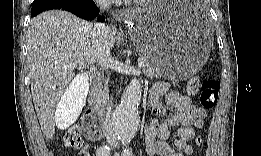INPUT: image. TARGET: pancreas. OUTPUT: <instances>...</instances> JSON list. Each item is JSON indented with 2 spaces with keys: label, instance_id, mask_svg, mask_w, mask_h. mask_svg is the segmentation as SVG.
<instances>
[{
  "label": "pancreas",
  "instance_id": "obj_1",
  "mask_svg": "<svg viewBox=\"0 0 261 156\" xmlns=\"http://www.w3.org/2000/svg\"><path fill=\"white\" fill-rule=\"evenodd\" d=\"M139 61H144L145 65L143 67V71L147 76H160L159 69L154 66L152 60L148 56L140 55ZM93 96L96 104L100 106L105 105L108 97V82L105 81V83L102 84V81H99L96 88L94 89Z\"/></svg>",
  "mask_w": 261,
  "mask_h": 156
}]
</instances>
